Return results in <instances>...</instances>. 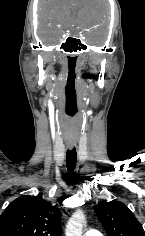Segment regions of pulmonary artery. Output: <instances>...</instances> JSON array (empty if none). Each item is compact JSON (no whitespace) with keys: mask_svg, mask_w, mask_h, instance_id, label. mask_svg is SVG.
<instances>
[{"mask_svg":"<svg viewBox=\"0 0 145 236\" xmlns=\"http://www.w3.org/2000/svg\"><path fill=\"white\" fill-rule=\"evenodd\" d=\"M84 236H102V234L95 229H89L85 232Z\"/></svg>","mask_w":145,"mask_h":236,"instance_id":"1","label":"pulmonary artery"}]
</instances>
